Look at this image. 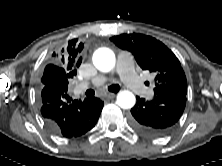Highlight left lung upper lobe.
<instances>
[{
    "mask_svg": "<svg viewBox=\"0 0 222 166\" xmlns=\"http://www.w3.org/2000/svg\"><path fill=\"white\" fill-rule=\"evenodd\" d=\"M111 41L119 48L130 51L143 70L155 75L154 93L161 90L187 93V81L181 64L162 42L137 33L113 36Z\"/></svg>",
    "mask_w": 222,
    "mask_h": 166,
    "instance_id": "1",
    "label": "left lung upper lobe"
}]
</instances>
